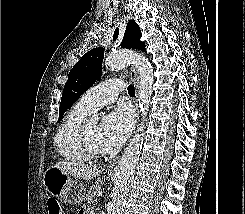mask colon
Listing matches in <instances>:
<instances>
[{
    "mask_svg": "<svg viewBox=\"0 0 245 214\" xmlns=\"http://www.w3.org/2000/svg\"><path fill=\"white\" fill-rule=\"evenodd\" d=\"M49 214H61L60 207L56 200L50 199L48 201Z\"/></svg>",
    "mask_w": 245,
    "mask_h": 214,
    "instance_id": "obj_1",
    "label": "colon"
}]
</instances>
